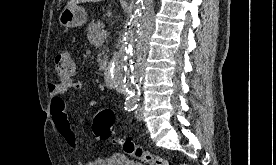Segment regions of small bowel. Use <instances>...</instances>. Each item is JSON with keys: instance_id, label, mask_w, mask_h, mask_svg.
<instances>
[{"instance_id": "small-bowel-1", "label": "small bowel", "mask_w": 276, "mask_h": 165, "mask_svg": "<svg viewBox=\"0 0 276 165\" xmlns=\"http://www.w3.org/2000/svg\"><path fill=\"white\" fill-rule=\"evenodd\" d=\"M84 86L82 81L73 78L60 80L57 83H50L48 86L50 96V113L57 131L65 140L67 145L79 152L81 146L76 138L74 131L71 128L64 95L71 90H80ZM114 158L108 156H100L92 161L80 162L79 165H112Z\"/></svg>"}]
</instances>
